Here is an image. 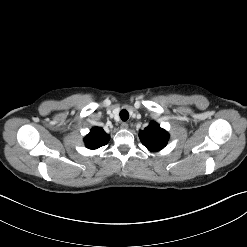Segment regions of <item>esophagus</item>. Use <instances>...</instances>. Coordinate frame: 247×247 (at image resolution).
<instances>
[{
    "label": "esophagus",
    "instance_id": "34e87169",
    "mask_svg": "<svg viewBox=\"0 0 247 247\" xmlns=\"http://www.w3.org/2000/svg\"><path fill=\"white\" fill-rule=\"evenodd\" d=\"M121 128H122V129H127V128H128V123L122 122V123H121Z\"/></svg>",
    "mask_w": 247,
    "mask_h": 247
}]
</instances>
